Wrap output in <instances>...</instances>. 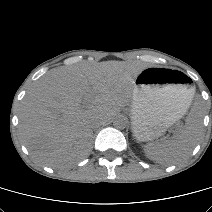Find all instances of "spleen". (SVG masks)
<instances>
[{
    "label": "spleen",
    "instance_id": "spleen-1",
    "mask_svg": "<svg viewBox=\"0 0 212 212\" xmlns=\"http://www.w3.org/2000/svg\"><path fill=\"white\" fill-rule=\"evenodd\" d=\"M201 133V125L188 119L175 139L144 146L146 157L160 164H175L192 152Z\"/></svg>",
    "mask_w": 212,
    "mask_h": 212
}]
</instances>
